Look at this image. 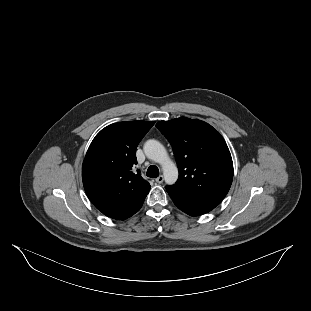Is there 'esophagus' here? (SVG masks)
Here are the masks:
<instances>
[{
	"mask_svg": "<svg viewBox=\"0 0 311 311\" xmlns=\"http://www.w3.org/2000/svg\"><path fill=\"white\" fill-rule=\"evenodd\" d=\"M163 180H164V177L162 175H160L158 178H156L157 183H162Z\"/></svg>",
	"mask_w": 311,
	"mask_h": 311,
	"instance_id": "1",
	"label": "esophagus"
}]
</instances>
